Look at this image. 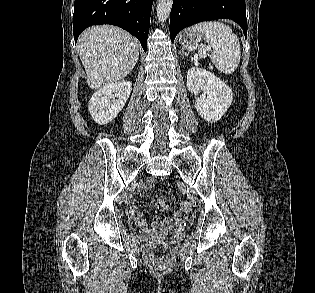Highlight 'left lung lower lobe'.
Here are the masks:
<instances>
[{
    "mask_svg": "<svg viewBox=\"0 0 315 293\" xmlns=\"http://www.w3.org/2000/svg\"><path fill=\"white\" fill-rule=\"evenodd\" d=\"M232 19L247 36V18L244 0H173L170 14V38L185 27L215 19Z\"/></svg>",
    "mask_w": 315,
    "mask_h": 293,
    "instance_id": "obj_1",
    "label": "left lung lower lobe"
}]
</instances>
